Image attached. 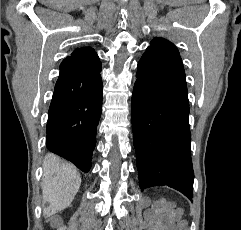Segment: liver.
I'll return each instance as SVG.
<instances>
[{"mask_svg":"<svg viewBox=\"0 0 241 230\" xmlns=\"http://www.w3.org/2000/svg\"><path fill=\"white\" fill-rule=\"evenodd\" d=\"M45 200L50 203L44 210L50 216L66 209L73 201L81 184V178L75 168L62 162L56 155L47 154L43 161Z\"/></svg>","mask_w":241,"mask_h":230,"instance_id":"6515ba94","label":"liver"}]
</instances>
